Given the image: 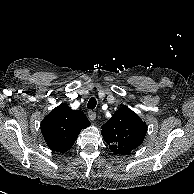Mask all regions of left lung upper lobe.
<instances>
[{"label": "left lung upper lobe", "instance_id": "5c2ea615", "mask_svg": "<svg viewBox=\"0 0 194 194\" xmlns=\"http://www.w3.org/2000/svg\"><path fill=\"white\" fill-rule=\"evenodd\" d=\"M101 129L110 150L115 154L126 155L140 146L146 135L147 126L135 112L123 106L102 125Z\"/></svg>", "mask_w": 194, "mask_h": 194}]
</instances>
